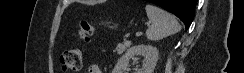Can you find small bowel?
Masks as SVG:
<instances>
[{
    "label": "small bowel",
    "mask_w": 244,
    "mask_h": 73,
    "mask_svg": "<svg viewBox=\"0 0 244 73\" xmlns=\"http://www.w3.org/2000/svg\"><path fill=\"white\" fill-rule=\"evenodd\" d=\"M88 73H102L99 66L96 64H91L88 67Z\"/></svg>",
    "instance_id": "1"
}]
</instances>
